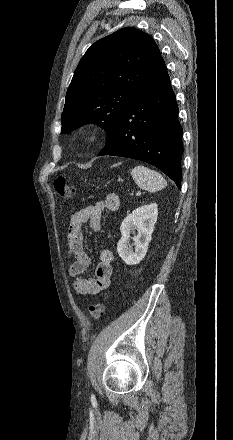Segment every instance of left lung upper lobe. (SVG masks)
<instances>
[{"label": "left lung upper lobe", "mask_w": 233, "mask_h": 440, "mask_svg": "<svg viewBox=\"0 0 233 440\" xmlns=\"http://www.w3.org/2000/svg\"><path fill=\"white\" fill-rule=\"evenodd\" d=\"M160 57L154 40L133 27L95 42L80 60L67 90L61 133L94 123L106 130L107 143Z\"/></svg>", "instance_id": "left-lung-upper-lobe-1"}]
</instances>
